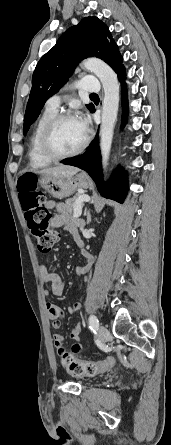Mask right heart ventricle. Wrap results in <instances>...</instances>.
I'll list each match as a JSON object with an SVG mask.
<instances>
[{
    "label": "right heart ventricle",
    "mask_w": 171,
    "mask_h": 445,
    "mask_svg": "<svg viewBox=\"0 0 171 445\" xmlns=\"http://www.w3.org/2000/svg\"><path fill=\"white\" fill-rule=\"evenodd\" d=\"M56 109L49 108L46 106L40 117L38 118L36 125L34 127L30 145H29V161L32 167L35 168H41L48 164H50L51 161L45 159L40 151H39V139L40 135L42 133V130L46 123L56 115Z\"/></svg>",
    "instance_id": "obj_1"
}]
</instances>
